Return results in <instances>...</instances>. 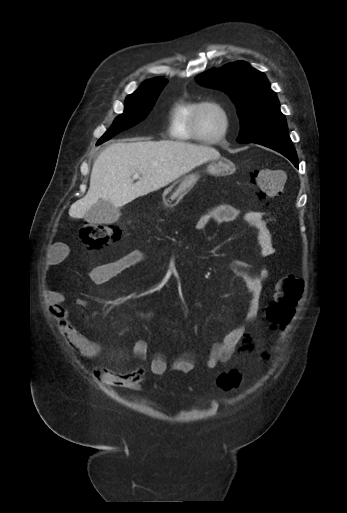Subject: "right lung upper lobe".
Segmentation results:
<instances>
[{
    "label": "right lung upper lobe",
    "instance_id": "right-lung-upper-lobe-1",
    "mask_svg": "<svg viewBox=\"0 0 347 513\" xmlns=\"http://www.w3.org/2000/svg\"><path fill=\"white\" fill-rule=\"evenodd\" d=\"M155 79H163V78H154V79H151V80H148V81H152V80H155ZM148 81H146V82H148Z\"/></svg>",
    "mask_w": 347,
    "mask_h": 513
}]
</instances>
